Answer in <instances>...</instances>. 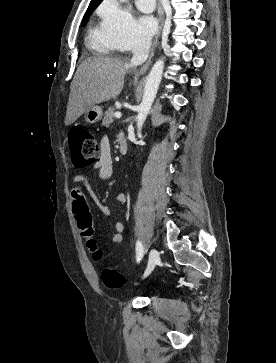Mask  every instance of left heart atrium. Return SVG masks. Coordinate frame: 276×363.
<instances>
[{
  "label": "left heart atrium",
  "instance_id": "obj_1",
  "mask_svg": "<svg viewBox=\"0 0 276 363\" xmlns=\"http://www.w3.org/2000/svg\"><path fill=\"white\" fill-rule=\"evenodd\" d=\"M158 25V20L153 15H142L139 18V26L147 37H150L157 32Z\"/></svg>",
  "mask_w": 276,
  "mask_h": 363
}]
</instances>
